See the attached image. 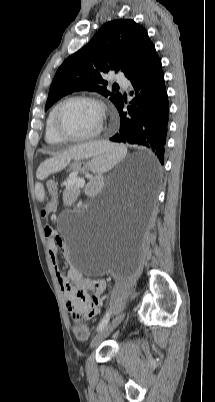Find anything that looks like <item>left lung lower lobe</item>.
<instances>
[{"label": "left lung lower lobe", "mask_w": 215, "mask_h": 402, "mask_svg": "<svg viewBox=\"0 0 215 402\" xmlns=\"http://www.w3.org/2000/svg\"><path fill=\"white\" fill-rule=\"evenodd\" d=\"M131 81L135 98L123 111V98L116 105L120 115V129L111 141L143 145L151 149L161 164L168 127L169 103L164 84V74L159 57L153 59L139 72L128 78ZM158 162L151 170L144 171V178L152 181L158 171Z\"/></svg>", "instance_id": "obj_1"}]
</instances>
